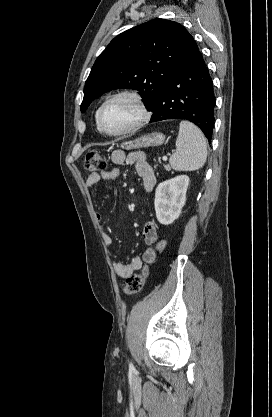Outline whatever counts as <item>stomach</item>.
Here are the masks:
<instances>
[{"label": "stomach", "instance_id": "0dacf381", "mask_svg": "<svg viewBox=\"0 0 272 417\" xmlns=\"http://www.w3.org/2000/svg\"><path fill=\"white\" fill-rule=\"evenodd\" d=\"M164 140L165 136L162 133L154 132L137 138L134 141L126 142L123 144V147H125L126 149H134L150 146H159L164 143Z\"/></svg>", "mask_w": 272, "mask_h": 417}]
</instances>
